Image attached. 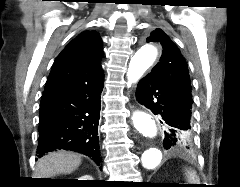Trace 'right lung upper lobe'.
<instances>
[{
	"label": "right lung upper lobe",
	"instance_id": "cb5924a9",
	"mask_svg": "<svg viewBox=\"0 0 240 187\" xmlns=\"http://www.w3.org/2000/svg\"><path fill=\"white\" fill-rule=\"evenodd\" d=\"M101 39L95 31H85L73 39L57 56L44 93L103 73Z\"/></svg>",
	"mask_w": 240,
	"mask_h": 187
}]
</instances>
